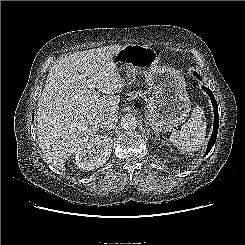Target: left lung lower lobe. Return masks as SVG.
I'll return each instance as SVG.
<instances>
[{
    "label": "left lung lower lobe",
    "instance_id": "0a47b994",
    "mask_svg": "<svg viewBox=\"0 0 245 245\" xmlns=\"http://www.w3.org/2000/svg\"><path fill=\"white\" fill-rule=\"evenodd\" d=\"M196 75L199 78V75L198 74H196ZM202 89L209 95V97L211 99V102H212V105H213V108H214V126H213V132H212L211 138L209 140V143H208L206 152L204 154V156H205L212 149V147H213V145H214V143L216 141L217 132H218V124H219V116H218L217 102L215 100V97H214L212 91L209 90L208 88L204 87V86L202 87Z\"/></svg>",
    "mask_w": 245,
    "mask_h": 245
}]
</instances>
